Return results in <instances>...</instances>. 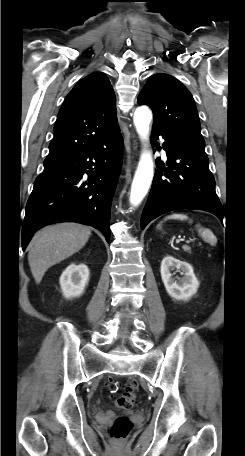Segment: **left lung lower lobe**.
I'll return each mask as SVG.
<instances>
[{
    "label": "left lung lower lobe",
    "instance_id": "0a47b994",
    "mask_svg": "<svg viewBox=\"0 0 245 456\" xmlns=\"http://www.w3.org/2000/svg\"><path fill=\"white\" fill-rule=\"evenodd\" d=\"M165 142L168 166L156 160L157 170L141 216V229L156 217L177 209H199L223 219L221 202L204 148L167 129H153L152 144Z\"/></svg>",
    "mask_w": 245,
    "mask_h": 456
}]
</instances>
